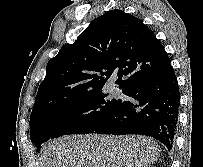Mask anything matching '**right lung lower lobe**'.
I'll use <instances>...</instances> for the list:
<instances>
[{"mask_svg":"<svg viewBox=\"0 0 203 167\" xmlns=\"http://www.w3.org/2000/svg\"><path fill=\"white\" fill-rule=\"evenodd\" d=\"M131 100L122 101L93 132L98 134H141L173 146L177 128L180 94L175 72L165 71L141 80L123 92Z\"/></svg>","mask_w":203,"mask_h":167,"instance_id":"obj_1","label":"right lung lower lobe"}]
</instances>
